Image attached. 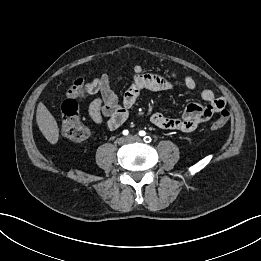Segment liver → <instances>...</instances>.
Masks as SVG:
<instances>
[{"label":"liver","mask_w":261,"mask_h":261,"mask_svg":"<svg viewBox=\"0 0 261 261\" xmlns=\"http://www.w3.org/2000/svg\"><path fill=\"white\" fill-rule=\"evenodd\" d=\"M36 121L47 141L56 144L59 139V128L56 119L42 102L37 106Z\"/></svg>","instance_id":"6515ba94"}]
</instances>
